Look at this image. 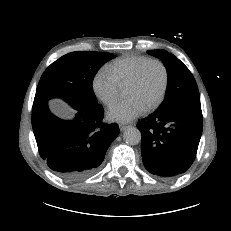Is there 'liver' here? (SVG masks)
<instances>
[{"mask_svg":"<svg viewBox=\"0 0 231 231\" xmlns=\"http://www.w3.org/2000/svg\"><path fill=\"white\" fill-rule=\"evenodd\" d=\"M54 109L57 110L58 112L66 113L67 110L60 108L58 105H54Z\"/></svg>","mask_w":231,"mask_h":231,"instance_id":"obj_1","label":"liver"}]
</instances>
